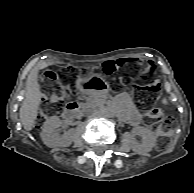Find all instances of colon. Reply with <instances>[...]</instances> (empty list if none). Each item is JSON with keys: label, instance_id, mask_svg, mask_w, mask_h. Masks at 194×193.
Instances as JSON below:
<instances>
[{"label": "colon", "instance_id": "colon-1", "mask_svg": "<svg viewBox=\"0 0 194 193\" xmlns=\"http://www.w3.org/2000/svg\"><path fill=\"white\" fill-rule=\"evenodd\" d=\"M102 71L108 76H115L122 72L125 81H134L137 102L142 110L148 112L149 118L156 126L160 137L159 146H164L174 134L175 122L160 108L154 107L159 98V86L155 81L157 69L152 65L145 66L137 60L119 59L105 62ZM74 75L75 71L72 68H64L58 73L46 72L43 75V103L41 112L36 118L38 125L44 123L47 115L63 107L65 98L68 96L67 87L73 81Z\"/></svg>", "mask_w": 194, "mask_h": 193}]
</instances>
